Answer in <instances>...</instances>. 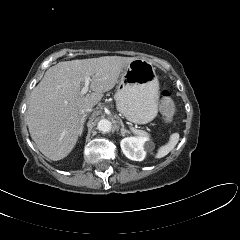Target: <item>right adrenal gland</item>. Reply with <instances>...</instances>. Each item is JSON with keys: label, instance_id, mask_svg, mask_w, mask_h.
Here are the masks:
<instances>
[{"label": "right adrenal gland", "instance_id": "1", "mask_svg": "<svg viewBox=\"0 0 240 240\" xmlns=\"http://www.w3.org/2000/svg\"><path fill=\"white\" fill-rule=\"evenodd\" d=\"M86 116H87V114L83 115L82 118H81L80 134H79V136H81L82 133H83L84 123H85V121H86Z\"/></svg>", "mask_w": 240, "mask_h": 240}]
</instances>
